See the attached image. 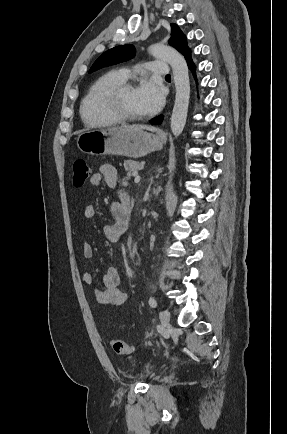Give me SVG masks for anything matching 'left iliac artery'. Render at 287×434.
<instances>
[{
    "label": "left iliac artery",
    "mask_w": 287,
    "mask_h": 434,
    "mask_svg": "<svg viewBox=\"0 0 287 434\" xmlns=\"http://www.w3.org/2000/svg\"><path fill=\"white\" fill-rule=\"evenodd\" d=\"M149 305H150L151 307H153V308H155V307L157 306V301H156V299H155L154 297H151V298L149 299Z\"/></svg>",
    "instance_id": "1"
}]
</instances>
